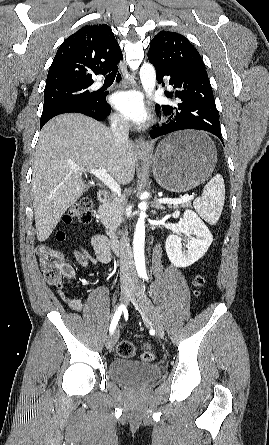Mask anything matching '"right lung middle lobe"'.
Listing matches in <instances>:
<instances>
[{"label": "right lung middle lobe", "instance_id": "dd1d6c3e", "mask_svg": "<svg viewBox=\"0 0 269 445\" xmlns=\"http://www.w3.org/2000/svg\"><path fill=\"white\" fill-rule=\"evenodd\" d=\"M92 84L65 85L45 89L44 107L40 119V126L56 115L74 108H88L96 103L99 94L90 92Z\"/></svg>", "mask_w": 269, "mask_h": 445}]
</instances>
